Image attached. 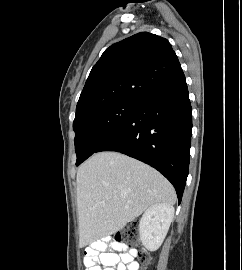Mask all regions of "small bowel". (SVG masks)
Masks as SVG:
<instances>
[{
  "mask_svg": "<svg viewBox=\"0 0 242 270\" xmlns=\"http://www.w3.org/2000/svg\"><path fill=\"white\" fill-rule=\"evenodd\" d=\"M109 249L107 250V247ZM137 250L107 238L95 242L87 250L86 270H139Z\"/></svg>",
  "mask_w": 242,
  "mask_h": 270,
  "instance_id": "c3829d8e",
  "label": "small bowel"
}]
</instances>
